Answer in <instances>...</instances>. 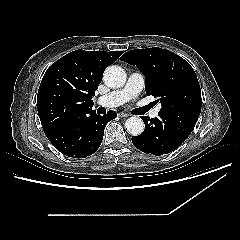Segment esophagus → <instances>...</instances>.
Here are the masks:
<instances>
[{"label":"esophagus","instance_id":"esophagus-1","mask_svg":"<svg viewBox=\"0 0 240 240\" xmlns=\"http://www.w3.org/2000/svg\"><path fill=\"white\" fill-rule=\"evenodd\" d=\"M118 116L119 117H128L129 115L127 113L120 112V113H118Z\"/></svg>","mask_w":240,"mask_h":240}]
</instances>
